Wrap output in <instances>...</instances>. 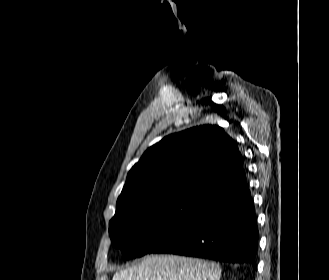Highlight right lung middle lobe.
Masks as SVG:
<instances>
[{
  "mask_svg": "<svg viewBox=\"0 0 329 280\" xmlns=\"http://www.w3.org/2000/svg\"><path fill=\"white\" fill-rule=\"evenodd\" d=\"M201 199L178 195L151 198L138 204H117L109 222L112 245L121 249L125 259L148 254L182 224Z\"/></svg>",
  "mask_w": 329,
  "mask_h": 280,
  "instance_id": "dd1d6c3e",
  "label": "right lung middle lobe"
}]
</instances>
